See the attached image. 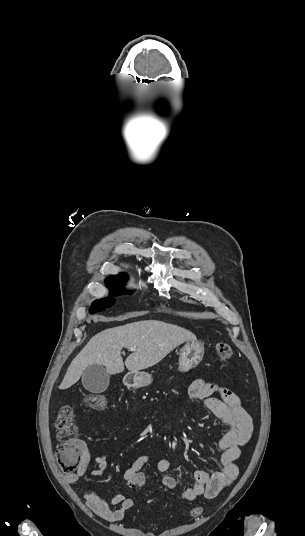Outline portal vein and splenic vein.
<instances>
[{"label": "portal vein and splenic vein", "mask_w": 305, "mask_h": 536, "mask_svg": "<svg viewBox=\"0 0 305 536\" xmlns=\"http://www.w3.org/2000/svg\"><path fill=\"white\" fill-rule=\"evenodd\" d=\"M130 352H134V350H136V348H129Z\"/></svg>", "instance_id": "1"}]
</instances>
